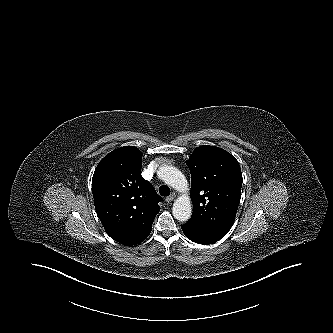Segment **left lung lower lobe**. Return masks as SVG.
I'll list each match as a JSON object with an SVG mask.
<instances>
[{"label":"left lung lower lobe","instance_id":"left-lung-lower-lobe-1","mask_svg":"<svg viewBox=\"0 0 333 333\" xmlns=\"http://www.w3.org/2000/svg\"><path fill=\"white\" fill-rule=\"evenodd\" d=\"M182 230L185 236H187L190 240L198 244H212L223 238V236L202 229L188 222L182 225Z\"/></svg>","mask_w":333,"mask_h":333}]
</instances>
